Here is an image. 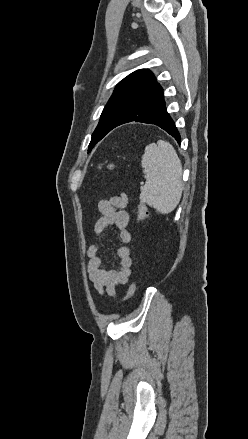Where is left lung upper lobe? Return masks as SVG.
Here are the masks:
<instances>
[{
    "label": "left lung upper lobe",
    "mask_w": 248,
    "mask_h": 439,
    "mask_svg": "<svg viewBox=\"0 0 248 439\" xmlns=\"http://www.w3.org/2000/svg\"><path fill=\"white\" fill-rule=\"evenodd\" d=\"M157 84L148 69H140L125 77L116 86L92 134L88 152L144 98Z\"/></svg>",
    "instance_id": "left-lung-upper-lobe-1"
}]
</instances>
